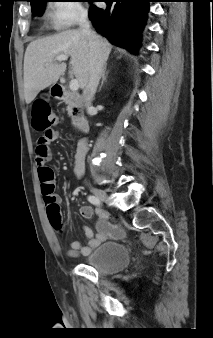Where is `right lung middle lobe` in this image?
<instances>
[{
  "mask_svg": "<svg viewBox=\"0 0 213 338\" xmlns=\"http://www.w3.org/2000/svg\"><path fill=\"white\" fill-rule=\"evenodd\" d=\"M48 1L49 0H30L29 2L31 3L32 13L38 16L42 15L44 8H45V3ZM84 1H90V0H84Z\"/></svg>",
  "mask_w": 213,
  "mask_h": 338,
  "instance_id": "dd1d6c3e",
  "label": "right lung middle lobe"
}]
</instances>
